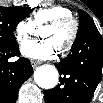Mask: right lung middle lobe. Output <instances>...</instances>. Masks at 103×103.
Returning <instances> with one entry per match:
<instances>
[{
    "label": "right lung middle lobe",
    "mask_w": 103,
    "mask_h": 103,
    "mask_svg": "<svg viewBox=\"0 0 103 103\" xmlns=\"http://www.w3.org/2000/svg\"><path fill=\"white\" fill-rule=\"evenodd\" d=\"M33 11L30 7H0V46H18L13 34L17 24Z\"/></svg>",
    "instance_id": "1"
}]
</instances>
